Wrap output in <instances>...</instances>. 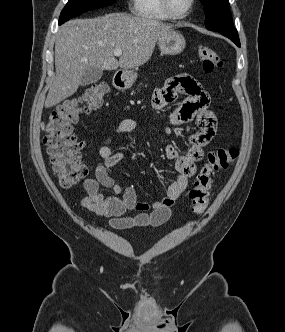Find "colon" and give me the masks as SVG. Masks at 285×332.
I'll return each instance as SVG.
<instances>
[{
  "mask_svg": "<svg viewBox=\"0 0 285 332\" xmlns=\"http://www.w3.org/2000/svg\"><path fill=\"white\" fill-rule=\"evenodd\" d=\"M198 56L206 73H211L222 65L217 52L209 46H199ZM107 92L106 82L91 85L80 97L67 100L54 109L43 125V143L47 148L52 170L63 187L77 184L87 174L81 161L83 142L76 137L73 125L81 114L101 106ZM238 155L239 151L234 147H222L208 154L207 161L188 192L193 212H204L209 204L214 175L220 170L231 168Z\"/></svg>",
  "mask_w": 285,
  "mask_h": 332,
  "instance_id": "obj_1",
  "label": "colon"
}]
</instances>
